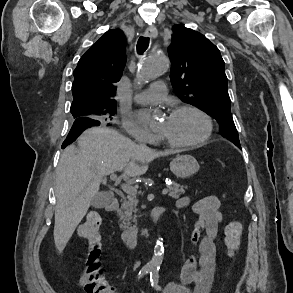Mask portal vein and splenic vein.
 Segmentation results:
<instances>
[{
    "instance_id": "obj_1",
    "label": "portal vein and splenic vein",
    "mask_w": 293,
    "mask_h": 293,
    "mask_svg": "<svg viewBox=\"0 0 293 293\" xmlns=\"http://www.w3.org/2000/svg\"><path fill=\"white\" fill-rule=\"evenodd\" d=\"M110 179L113 180V181H115V182H118V183L120 182L119 179H118V177H117V175H116L115 173H112V174L110 175ZM121 188H122V190H123L125 193H127V194H129V195H136V194H137V189H136L135 187L131 186V185H128V184H122V185H121ZM168 192H169V191H168L167 188H164V189L162 190V194H163V195H166Z\"/></svg>"
}]
</instances>
